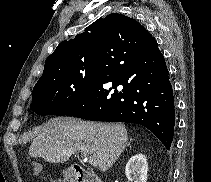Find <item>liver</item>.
Returning <instances> with one entry per match:
<instances>
[{"label":"liver","instance_id":"obj_1","mask_svg":"<svg viewBox=\"0 0 211 182\" xmlns=\"http://www.w3.org/2000/svg\"><path fill=\"white\" fill-rule=\"evenodd\" d=\"M128 140L122 124L93 123L65 117L49 120L30 148V157L64 163L75 152L93 154L100 171L106 172L124 151Z\"/></svg>","mask_w":211,"mask_h":182}]
</instances>
